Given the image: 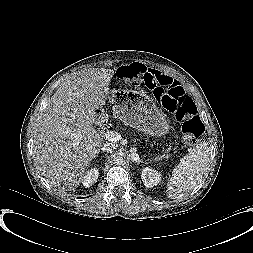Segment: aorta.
Segmentation results:
<instances>
[{"label":"aorta","instance_id":"1","mask_svg":"<svg viewBox=\"0 0 253 253\" xmlns=\"http://www.w3.org/2000/svg\"><path fill=\"white\" fill-rule=\"evenodd\" d=\"M123 162H124L123 157L120 156V155H117V156L114 158V163H115L116 165H121Z\"/></svg>","mask_w":253,"mask_h":253}]
</instances>
